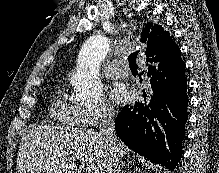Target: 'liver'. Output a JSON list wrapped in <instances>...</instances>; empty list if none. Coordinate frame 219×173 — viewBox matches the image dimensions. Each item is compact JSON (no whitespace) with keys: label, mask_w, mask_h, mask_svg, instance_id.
I'll return each instance as SVG.
<instances>
[{"label":"liver","mask_w":219,"mask_h":173,"mask_svg":"<svg viewBox=\"0 0 219 173\" xmlns=\"http://www.w3.org/2000/svg\"><path fill=\"white\" fill-rule=\"evenodd\" d=\"M119 158L127 152L117 139ZM110 152L100 134L91 129L38 126L22 138L16 173H78L80 160L86 173H106Z\"/></svg>","instance_id":"liver-1"}]
</instances>
